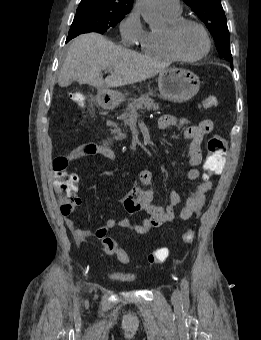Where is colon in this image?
Listing matches in <instances>:
<instances>
[{
	"label": "colon",
	"instance_id": "5ec220e1",
	"mask_svg": "<svg viewBox=\"0 0 261 340\" xmlns=\"http://www.w3.org/2000/svg\"><path fill=\"white\" fill-rule=\"evenodd\" d=\"M218 101L214 96L205 98L202 107L205 109L217 106ZM227 153V143L221 136L215 135L207 141V156L204 163L203 178L209 179L212 175L219 174L224 166L225 155ZM68 160L65 157H57L53 161V186L58 196L60 211L63 215H69L74 208L80 203L77 196L78 181L75 175L68 173ZM194 239V233L187 231L182 235L184 243H191ZM103 251L108 255H114L123 264L130 261L129 255L121 249L116 241L110 237L102 240ZM169 257V250L165 247L155 249L149 256L150 264L164 263Z\"/></svg>",
	"mask_w": 261,
	"mask_h": 340
}]
</instances>
